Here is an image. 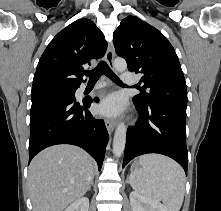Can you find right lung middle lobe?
I'll return each mask as SVG.
<instances>
[{"label":"right lung middle lobe","instance_id":"dd1d6c3e","mask_svg":"<svg viewBox=\"0 0 221 211\" xmlns=\"http://www.w3.org/2000/svg\"><path fill=\"white\" fill-rule=\"evenodd\" d=\"M76 88H48L36 91H31L32 103L47 99L54 96H64L69 98H75Z\"/></svg>","mask_w":221,"mask_h":211}]
</instances>
